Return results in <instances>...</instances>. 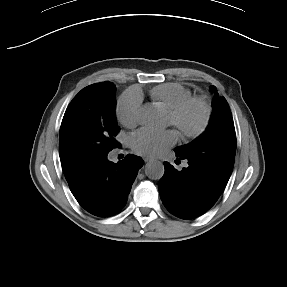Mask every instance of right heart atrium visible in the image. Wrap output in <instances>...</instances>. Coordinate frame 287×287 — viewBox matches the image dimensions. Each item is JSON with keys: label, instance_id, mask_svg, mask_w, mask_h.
I'll return each instance as SVG.
<instances>
[{"label": "right heart atrium", "instance_id": "obj_1", "mask_svg": "<svg viewBox=\"0 0 287 287\" xmlns=\"http://www.w3.org/2000/svg\"><path fill=\"white\" fill-rule=\"evenodd\" d=\"M116 112L124 126L134 128L141 119V96L136 92L124 93L117 102Z\"/></svg>", "mask_w": 287, "mask_h": 287}]
</instances>
